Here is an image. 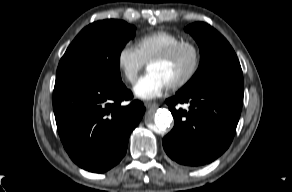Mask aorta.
Here are the masks:
<instances>
[{"label":"aorta","instance_id":"762f6f07","mask_svg":"<svg viewBox=\"0 0 292 192\" xmlns=\"http://www.w3.org/2000/svg\"><path fill=\"white\" fill-rule=\"evenodd\" d=\"M172 120L173 117L167 109H158L154 116V123L160 131L167 130L170 127Z\"/></svg>","mask_w":292,"mask_h":192}]
</instances>
